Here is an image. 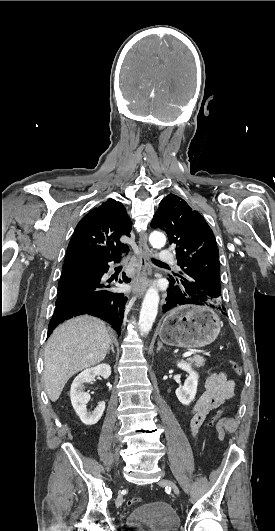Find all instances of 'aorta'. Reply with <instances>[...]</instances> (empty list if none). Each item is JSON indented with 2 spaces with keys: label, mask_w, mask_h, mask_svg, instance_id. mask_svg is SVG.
<instances>
[{
  "label": "aorta",
  "mask_w": 275,
  "mask_h": 531,
  "mask_svg": "<svg viewBox=\"0 0 275 531\" xmlns=\"http://www.w3.org/2000/svg\"><path fill=\"white\" fill-rule=\"evenodd\" d=\"M149 241L153 249H159L164 247L166 239L162 233H151ZM159 295L158 291L154 287H150L146 291V295L143 299L140 317H139V329L141 335H148L155 323V319L158 313Z\"/></svg>",
  "instance_id": "aorta-1"
}]
</instances>
